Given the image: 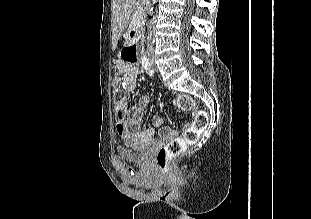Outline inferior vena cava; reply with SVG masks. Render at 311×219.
Masks as SVG:
<instances>
[{
  "instance_id": "1",
  "label": "inferior vena cava",
  "mask_w": 311,
  "mask_h": 219,
  "mask_svg": "<svg viewBox=\"0 0 311 219\" xmlns=\"http://www.w3.org/2000/svg\"><path fill=\"white\" fill-rule=\"evenodd\" d=\"M143 2H144V4H145V9L147 10H149V7H150V5H149V1L148 0H143ZM153 20L154 19H151L150 21H149V25H148V27H149V29L151 30V28H152V25H153ZM151 38H152V32H150L149 33V35H148V37H147V40H148V44H147V46H148V48H149V50H152V44H153V41L151 40Z\"/></svg>"
}]
</instances>
